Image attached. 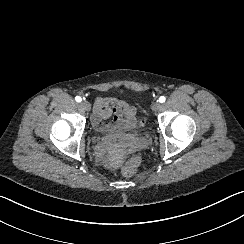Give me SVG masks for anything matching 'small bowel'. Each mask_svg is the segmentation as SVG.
<instances>
[{
    "mask_svg": "<svg viewBox=\"0 0 244 244\" xmlns=\"http://www.w3.org/2000/svg\"><path fill=\"white\" fill-rule=\"evenodd\" d=\"M93 121L99 128L112 131L129 130L135 126L134 108L115 97H99L93 107Z\"/></svg>",
    "mask_w": 244,
    "mask_h": 244,
    "instance_id": "obj_1",
    "label": "small bowel"
}]
</instances>
